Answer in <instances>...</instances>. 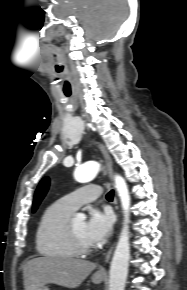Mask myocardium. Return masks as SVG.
Masks as SVG:
<instances>
[{"instance_id": "1", "label": "myocardium", "mask_w": 187, "mask_h": 290, "mask_svg": "<svg viewBox=\"0 0 187 290\" xmlns=\"http://www.w3.org/2000/svg\"><path fill=\"white\" fill-rule=\"evenodd\" d=\"M66 235L70 246L76 254H87L93 250V247L91 245L83 243L76 235L72 227L71 218L68 219L66 224Z\"/></svg>"}]
</instances>
